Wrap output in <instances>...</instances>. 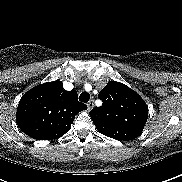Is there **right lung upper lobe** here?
Here are the masks:
<instances>
[{
  "mask_svg": "<svg viewBox=\"0 0 182 182\" xmlns=\"http://www.w3.org/2000/svg\"><path fill=\"white\" fill-rule=\"evenodd\" d=\"M87 109L75 90L66 91L61 81L38 85L21 98L16 122L22 132L37 140H51L67 133L75 115Z\"/></svg>",
  "mask_w": 182,
  "mask_h": 182,
  "instance_id": "cb5924a9",
  "label": "right lung upper lobe"
}]
</instances>
